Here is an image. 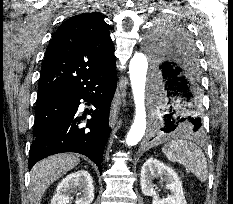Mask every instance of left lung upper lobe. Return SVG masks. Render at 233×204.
<instances>
[{
  "instance_id": "obj_1",
  "label": "left lung upper lobe",
  "mask_w": 233,
  "mask_h": 204,
  "mask_svg": "<svg viewBox=\"0 0 233 204\" xmlns=\"http://www.w3.org/2000/svg\"><path fill=\"white\" fill-rule=\"evenodd\" d=\"M147 49L154 67L166 59L169 50L190 57L199 72L198 57L192 39L181 28L165 25L154 30L147 39Z\"/></svg>"
}]
</instances>
